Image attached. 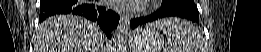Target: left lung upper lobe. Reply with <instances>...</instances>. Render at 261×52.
Here are the masks:
<instances>
[{
  "label": "left lung upper lobe",
  "mask_w": 261,
  "mask_h": 52,
  "mask_svg": "<svg viewBox=\"0 0 261 52\" xmlns=\"http://www.w3.org/2000/svg\"><path fill=\"white\" fill-rule=\"evenodd\" d=\"M175 5L186 6L190 9L198 11L193 0H165L164 6H175Z\"/></svg>",
  "instance_id": "1"
}]
</instances>
